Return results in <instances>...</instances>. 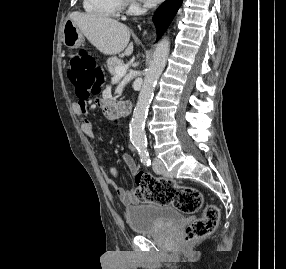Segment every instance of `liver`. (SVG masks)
Segmentation results:
<instances>
[{
    "label": "liver",
    "mask_w": 286,
    "mask_h": 269,
    "mask_svg": "<svg viewBox=\"0 0 286 269\" xmlns=\"http://www.w3.org/2000/svg\"><path fill=\"white\" fill-rule=\"evenodd\" d=\"M69 18L101 53L116 55L124 51L122 57L132 54L133 43H129L130 30L126 25L95 13L73 12Z\"/></svg>",
    "instance_id": "1"
}]
</instances>
